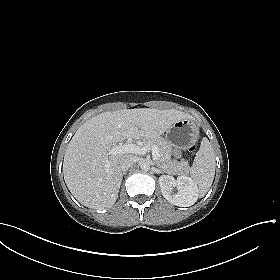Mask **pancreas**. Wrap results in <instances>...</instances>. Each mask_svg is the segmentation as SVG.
Returning a JSON list of instances; mask_svg holds the SVG:
<instances>
[{
  "label": "pancreas",
  "instance_id": "1",
  "mask_svg": "<svg viewBox=\"0 0 280 280\" xmlns=\"http://www.w3.org/2000/svg\"><path fill=\"white\" fill-rule=\"evenodd\" d=\"M144 145H156L159 148V157L156 160L157 166L164 172L174 175L187 174L189 172V164L182 160L177 162L171 160V145L163 138L144 139Z\"/></svg>",
  "mask_w": 280,
  "mask_h": 280
}]
</instances>
